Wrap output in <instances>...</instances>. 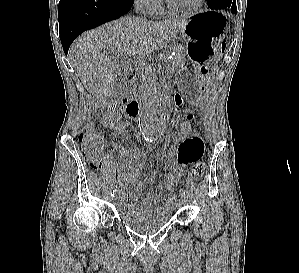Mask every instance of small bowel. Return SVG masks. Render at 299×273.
<instances>
[{"label":"small bowel","mask_w":299,"mask_h":273,"mask_svg":"<svg viewBox=\"0 0 299 273\" xmlns=\"http://www.w3.org/2000/svg\"><path fill=\"white\" fill-rule=\"evenodd\" d=\"M175 102L177 105H180L182 100L179 96H176ZM103 122L106 127L116 131L132 129L130 124L121 120L120 115L113 108L107 110L103 117ZM203 153L204 143L194 132L184 141L177 143L175 158L169 160L166 164L168 170L164 182L166 198L161 200L149 193L142 204L138 206L137 202L141 193V187L127 188V184L136 182L144 165V161L143 158L136 154L122 149L120 151L121 158L130 159L132 162L130 164L119 162L115 168L120 208L139 216H149L157 210L173 209L175 206L174 197L171 196L170 193L181 180L185 168L198 162L203 156Z\"/></svg>","instance_id":"c3829d8e"}]
</instances>
